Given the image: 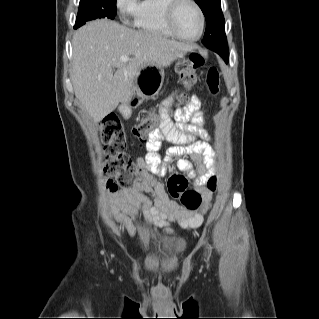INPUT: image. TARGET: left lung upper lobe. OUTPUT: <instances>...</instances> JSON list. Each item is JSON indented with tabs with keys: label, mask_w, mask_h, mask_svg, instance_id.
<instances>
[{
	"label": "left lung upper lobe",
	"mask_w": 319,
	"mask_h": 319,
	"mask_svg": "<svg viewBox=\"0 0 319 319\" xmlns=\"http://www.w3.org/2000/svg\"><path fill=\"white\" fill-rule=\"evenodd\" d=\"M206 17V30L202 43L218 53L224 60L228 52L225 35V20L221 10L220 0H194Z\"/></svg>",
	"instance_id": "obj_1"
}]
</instances>
